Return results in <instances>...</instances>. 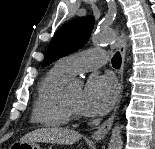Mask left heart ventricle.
Listing matches in <instances>:
<instances>
[{"label":"left heart ventricle","mask_w":155,"mask_h":149,"mask_svg":"<svg viewBox=\"0 0 155 149\" xmlns=\"http://www.w3.org/2000/svg\"><path fill=\"white\" fill-rule=\"evenodd\" d=\"M82 91L81 89L70 88L66 90V97L68 101L79 110V103L81 99ZM80 111V110H79Z\"/></svg>","instance_id":"obj_1"}]
</instances>
